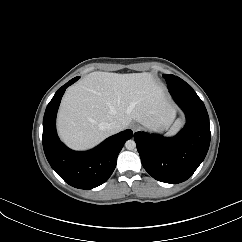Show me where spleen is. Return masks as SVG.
I'll list each match as a JSON object with an SVG mask.
<instances>
[{"label":"spleen","mask_w":242,"mask_h":242,"mask_svg":"<svg viewBox=\"0 0 242 242\" xmlns=\"http://www.w3.org/2000/svg\"><path fill=\"white\" fill-rule=\"evenodd\" d=\"M178 130V127L175 126L174 128H172V130L170 131L169 135L175 134Z\"/></svg>","instance_id":"obj_1"}]
</instances>
